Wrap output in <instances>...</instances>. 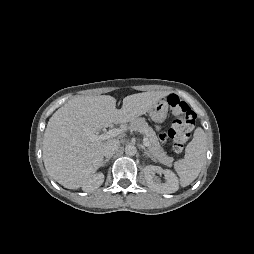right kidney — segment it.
Wrapping results in <instances>:
<instances>
[{
	"label": "right kidney",
	"instance_id": "ca27d5eb",
	"mask_svg": "<svg viewBox=\"0 0 254 254\" xmlns=\"http://www.w3.org/2000/svg\"><path fill=\"white\" fill-rule=\"evenodd\" d=\"M104 182V175L103 173H98V174H95L92 179H90L88 181L87 184H85L83 186V189L85 191H92V190H95L97 189L98 187H100L102 185V183Z\"/></svg>",
	"mask_w": 254,
	"mask_h": 254
}]
</instances>
